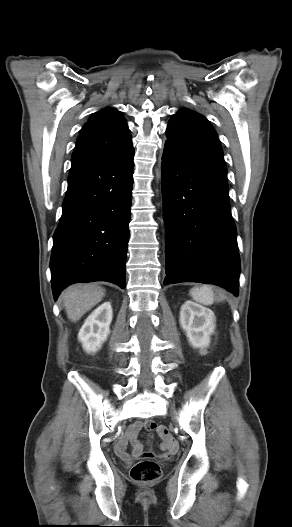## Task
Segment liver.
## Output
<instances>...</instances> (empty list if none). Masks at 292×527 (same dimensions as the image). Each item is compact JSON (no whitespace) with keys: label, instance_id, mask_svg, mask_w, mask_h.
Returning a JSON list of instances; mask_svg holds the SVG:
<instances>
[{"label":"liver","instance_id":"obj_1","mask_svg":"<svg viewBox=\"0 0 292 527\" xmlns=\"http://www.w3.org/2000/svg\"><path fill=\"white\" fill-rule=\"evenodd\" d=\"M105 296V289L97 284L77 285L68 290L64 306L68 319L78 321L86 312L96 306Z\"/></svg>","mask_w":292,"mask_h":527}]
</instances>
